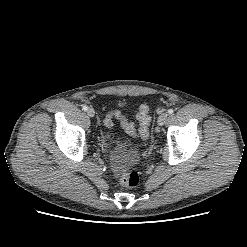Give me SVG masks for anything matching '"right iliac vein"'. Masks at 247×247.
Wrapping results in <instances>:
<instances>
[{
  "label": "right iliac vein",
  "mask_w": 247,
  "mask_h": 247,
  "mask_svg": "<svg viewBox=\"0 0 247 247\" xmlns=\"http://www.w3.org/2000/svg\"><path fill=\"white\" fill-rule=\"evenodd\" d=\"M87 115H88L89 117H94V115H95V110H94L93 108H89V109L87 110Z\"/></svg>",
  "instance_id": "right-iliac-vein-1"
}]
</instances>
